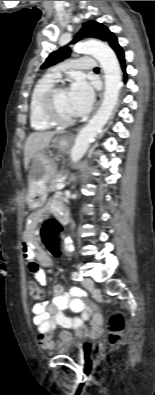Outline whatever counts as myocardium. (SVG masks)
Here are the masks:
<instances>
[{"instance_id":"f54148a6","label":"myocardium","mask_w":155,"mask_h":395,"mask_svg":"<svg viewBox=\"0 0 155 395\" xmlns=\"http://www.w3.org/2000/svg\"><path fill=\"white\" fill-rule=\"evenodd\" d=\"M65 90L63 85H53L41 97L40 111L43 118L53 126L66 127L75 122L74 118L64 119L61 118L55 109V97L58 92Z\"/></svg>"}]
</instances>
